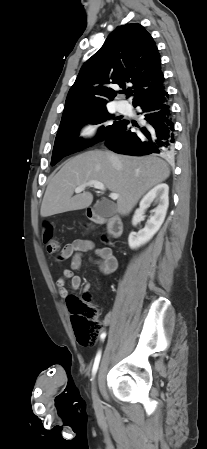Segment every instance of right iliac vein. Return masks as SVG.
I'll use <instances>...</instances> for the list:
<instances>
[{
	"instance_id": "63e3f726",
	"label": "right iliac vein",
	"mask_w": 207,
	"mask_h": 449,
	"mask_svg": "<svg viewBox=\"0 0 207 449\" xmlns=\"http://www.w3.org/2000/svg\"><path fill=\"white\" fill-rule=\"evenodd\" d=\"M92 397H93L94 404L96 406H98L100 404V400H99V397H98L97 388H96V381L95 380H94L93 385H92Z\"/></svg>"
}]
</instances>
